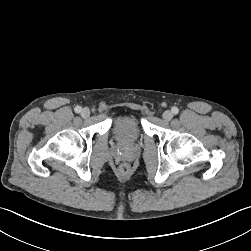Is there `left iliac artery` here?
Masks as SVG:
<instances>
[{"mask_svg":"<svg viewBox=\"0 0 251 251\" xmlns=\"http://www.w3.org/2000/svg\"><path fill=\"white\" fill-rule=\"evenodd\" d=\"M178 112H179V109L177 107L172 108V113L173 114H178Z\"/></svg>","mask_w":251,"mask_h":251,"instance_id":"obj_1","label":"left iliac artery"}]
</instances>
